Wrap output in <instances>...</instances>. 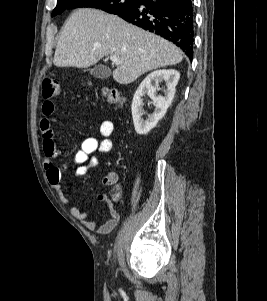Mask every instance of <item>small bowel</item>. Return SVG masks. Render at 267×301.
<instances>
[{
    "instance_id": "small-bowel-1",
    "label": "small bowel",
    "mask_w": 267,
    "mask_h": 301,
    "mask_svg": "<svg viewBox=\"0 0 267 301\" xmlns=\"http://www.w3.org/2000/svg\"><path fill=\"white\" fill-rule=\"evenodd\" d=\"M42 118L39 122V127L42 133L44 161L43 165L46 170L47 178L51 186L58 192L64 203H69V200L64 196L61 189V173L67 170L68 166L59 168L55 165L54 159L60 154L57 148L52 132V115L55 111V105L51 99H45L42 103ZM115 130L114 124L111 121L105 120L99 126V133L103 139L98 140L95 137H87L81 143V147L73 159V166L75 168L74 176L76 179L82 178L87 175L88 171L99 165L100 160L96 153H108L111 151L113 143L109 138ZM117 177L115 174L110 173L102 178L105 185L115 183ZM98 200L107 204L109 209V218L105 222H97L90 219V215L78 208L72 206L70 211L74 218L78 219L82 225L91 231L99 234H109L116 227L119 214L110 203L107 195L99 194Z\"/></svg>"
}]
</instances>
